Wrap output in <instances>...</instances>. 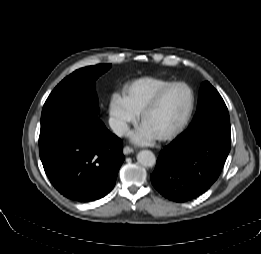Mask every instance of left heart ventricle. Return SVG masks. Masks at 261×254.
I'll use <instances>...</instances> for the list:
<instances>
[{
	"mask_svg": "<svg viewBox=\"0 0 261 254\" xmlns=\"http://www.w3.org/2000/svg\"><path fill=\"white\" fill-rule=\"evenodd\" d=\"M189 105V92L183 86L171 88L157 107L145 117L142 127L156 136L174 129L186 113Z\"/></svg>",
	"mask_w": 261,
	"mask_h": 254,
	"instance_id": "obj_1",
	"label": "left heart ventricle"
}]
</instances>
